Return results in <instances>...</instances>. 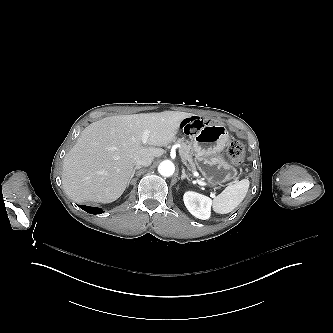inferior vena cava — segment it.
<instances>
[{
	"label": "inferior vena cava",
	"instance_id": "inferior-vena-cava-1",
	"mask_svg": "<svg viewBox=\"0 0 333 333\" xmlns=\"http://www.w3.org/2000/svg\"><path fill=\"white\" fill-rule=\"evenodd\" d=\"M153 158L151 157H145L141 158L137 161L136 166H149L152 163Z\"/></svg>",
	"mask_w": 333,
	"mask_h": 333
}]
</instances>
